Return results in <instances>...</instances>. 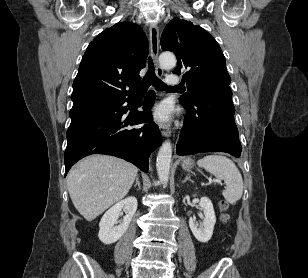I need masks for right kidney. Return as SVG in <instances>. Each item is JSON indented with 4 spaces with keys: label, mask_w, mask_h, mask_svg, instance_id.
<instances>
[{
    "label": "right kidney",
    "mask_w": 308,
    "mask_h": 278,
    "mask_svg": "<svg viewBox=\"0 0 308 278\" xmlns=\"http://www.w3.org/2000/svg\"><path fill=\"white\" fill-rule=\"evenodd\" d=\"M137 205V199L131 196L111 207L103 215L99 223V240L107 245L119 240L127 231L132 217L137 210ZM122 209L126 211V215L118 226H114V224L117 223V219L120 216Z\"/></svg>",
    "instance_id": "1"
}]
</instances>
